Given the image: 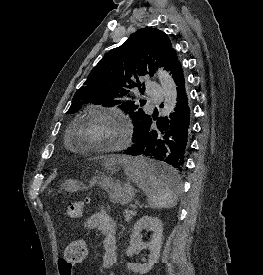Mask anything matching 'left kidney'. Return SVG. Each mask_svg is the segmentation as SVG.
I'll return each instance as SVG.
<instances>
[{"label":"left kidney","mask_w":263,"mask_h":275,"mask_svg":"<svg viewBox=\"0 0 263 275\" xmlns=\"http://www.w3.org/2000/svg\"><path fill=\"white\" fill-rule=\"evenodd\" d=\"M150 228L153 231L150 242L144 243L139 239L140 233L143 229ZM163 225L161 220L157 217L143 216L140 218L133 227L130 236V245L126 250V255L132 257L134 253L148 248L151 251L148 262L144 264L128 263V268L141 275L148 273L155 263L158 262L160 257V250L163 237Z\"/></svg>","instance_id":"left-kidney-1"}]
</instances>
